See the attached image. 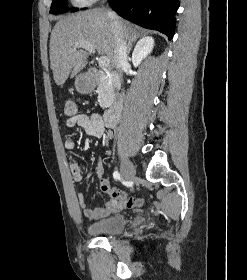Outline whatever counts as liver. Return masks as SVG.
<instances>
[{
	"mask_svg": "<svg viewBox=\"0 0 247 280\" xmlns=\"http://www.w3.org/2000/svg\"><path fill=\"white\" fill-rule=\"evenodd\" d=\"M121 21L127 38L135 33L132 25ZM88 43L95 47L98 54L106 56L115 65V38L111 20L103 9H90L60 19L50 36V66L54 81L62 86L68 79L76 76L88 63L90 52L82 47L73 49L76 44Z\"/></svg>",
	"mask_w": 247,
	"mask_h": 280,
	"instance_id": "6515ba94",
	"label": "liver"
}]
</instances>
